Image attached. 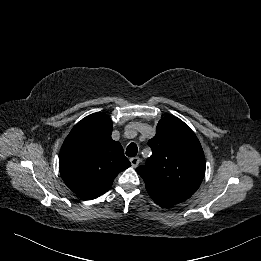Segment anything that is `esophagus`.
Listing matches in <instances>:
<instances>
[{
  "mask_svg": "<svg viewBox=\"0 0 261 261\" xmlns=\"http://www.w3.org/2000/svg\"><path fill=\"white\" fill-rule=\"evenodd\" d=\"M130 162H131L132 167L135 168L139 165L140 159H139V157H133L130 159Z\"/></svg>",
  "mask_w": 261,
  "mask_h": 261,
  "instance_id": "1",
  "label": "esophagus"
}]
</instances>
